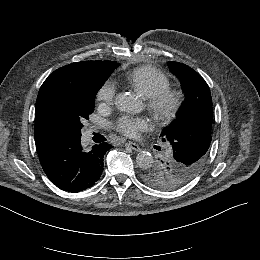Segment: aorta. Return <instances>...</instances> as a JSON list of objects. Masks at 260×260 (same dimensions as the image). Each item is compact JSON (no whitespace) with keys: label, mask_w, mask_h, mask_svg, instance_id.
I'll return each instance as SVG.
<instances>
[{"label":"aorta","mask_w":260,"mask_h":260,"mask_svg":"<svg viewBox=\"0 0 260 260\" xmlns=\"http://www.w3.org/2000/svg\"><path fill=\"white\" fill-rule=\"evenodd\" d=\"M115 104L119 110L126 112L138 111L140 108V103L137 98L128 92L118 94L115 99ZM136 163L140 168L146 169L152 166L154 158L149 152L144 151L136 156Z\"/></svg>","instance_id":"762f6f07"}]
</instances>
